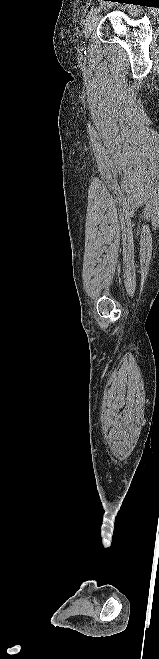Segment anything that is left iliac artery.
<instances>
[{
    "instance_id": "left-iliac-artery-1",
    "label": "left iliac artery",
    "mask_w": 159,
    "mask_h": 659,
    "mask_svg": "<svg viewBox=\"0 0 159 659\" xmlns=\"http://www.w3.org/2000/svg\"><path fill=\"white\" fill-rule=\"evenodd\" d=\"M100 9H101V6H98V7L92 8V9L89 11L88 15H87V19H90L94 14H96L97 12H99Z\"/></svg>"
}]
</instances>
